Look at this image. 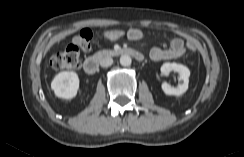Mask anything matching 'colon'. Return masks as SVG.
Returning a JSON list of instances; mask_svg holds the SVG:
<instances>
[{"label": "colon", "instance_id": "5ec220e1", "mask_svg": "<svg viewBox=\"0 0 244 157\" xmlns=\"http://www.w3.org/2000/svg\"><path fill=\"white\" fill-rule=\"evenodd\" d=\"M127 33L120 29L108 30L103 33V37L110 41H116L125 37ZM93 34L89 29H83L78 32L72 43L63 51L55 53L50 58V65L56 70H74L80 65V50L90 48ZM188 50L194 51L195 46L188 44Z\"/></svg>", "mask_w": 244, "mask_h": 157}]
</instances>
